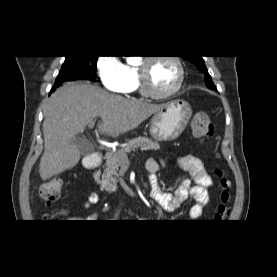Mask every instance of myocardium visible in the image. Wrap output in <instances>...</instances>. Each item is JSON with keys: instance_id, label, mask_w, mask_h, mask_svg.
Here are the masks:
<instances>
[{"instance_id": "1", "label": "myocardium", "mask_w": 277, "mask_h": 277, "mask_svg": "<svg viewBox=\"0 0 277 277\" xmlns=\"http://www.w3.org/2000/svg\"><path fill=\"white\" fill-rule=\"evenodd\" d=\"M157 60H168L171 61L177 68L178 78L175 85L167 92L164 93H156L152 91L148 84V67L149 65ZM185 79V69L181 59L174 55H159V56H151L146 57L143 64L138 67V80H139V89L140 92L149 98L152 99H167L175 95L183 86Z\"/></svg>"}]
</instances>
